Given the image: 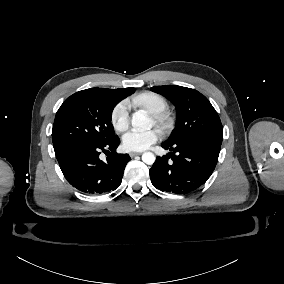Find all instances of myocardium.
I'll return each instance as SVG.
<instances>
[{
	"label": "myocardium",
	"instance_id": "1",
	"mask_svg": "<svg viewBox=\"0 0 284 284\" xmlns=\"http://www.w3.org/2000/svg\"><path fill=\"white\" fill-rule=\"evenodd\" d=\"M156 121L160 126L165 127L166 121H165V118L162 114L157 116Z\"/></svg>",
	"mask_w": 284,
	"mask_h": 284
}]
</instances>
